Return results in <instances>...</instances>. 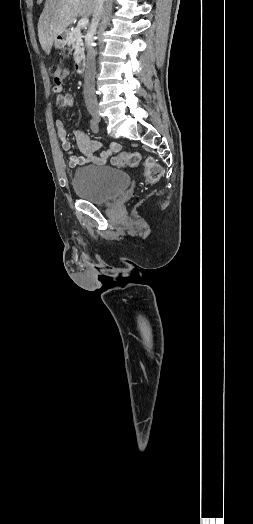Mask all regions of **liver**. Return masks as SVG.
Listing matches in <instances>:
<instances>
[{
	"instance_id": "1",
	"label": "liver",
	"mask_w": 253,
	"mask_h": 524,
	"mask_svg": "<svg viewBox=\"0 0 253 524\" xmlns=\"http://www.w3.org/2000/svg\"><path fill=\"white\" fill-rule=\"evenodd\" d=\"M96 0H46L38 22V37L42 49L49 54L56 37L78 15L90 17L95 10Z\"/></svg>"
}]
</instances>
